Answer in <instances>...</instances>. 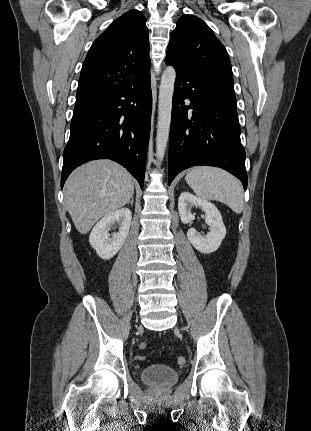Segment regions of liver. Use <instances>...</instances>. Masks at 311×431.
<instances>
[{
  "label": "liver",
  "mask_w": 311,
  "mask_h": 431,
  "mask_svg": "<svg viewBox=\"0 0 311 431\" xmlns=\"http://www.w3.org/2000/svg\"><path fill=\"white\" fill-rule=\"evenodd\" d=\"M133 178L120 164L95 160L72 172L65 184L67 210L80 233H87L100 217L129 204Z\"/></svg>",
  "instance_id": "1"
}]
</instances>
